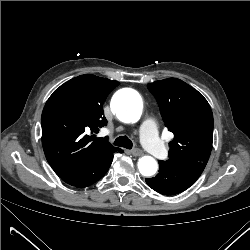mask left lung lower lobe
<instances>
[{
  "label": "left lung lower lobe",
  "instance_id": "obj_1",
  "mask_svg": "<svg viewBox=\"0 0 250 250\" xmlns=\"http://www.w3.org/2000/svg\"><path fill=\"white\" fill-rule=\"evenodd\" d=\"M159 166V173L147 178L146 183L164 195H174L188 189L205 168L202 163L168 164L165 161H159Z\"/></svg>",
  "mask_w": 250,
  "mask_h": 250
}]
</instances>
